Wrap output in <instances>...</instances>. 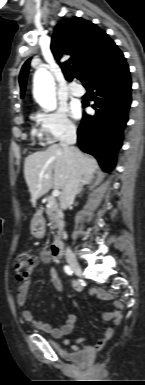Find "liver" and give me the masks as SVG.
Segmentation results:
<instances>
[{
    "label": "liver",
    "instance_id": "liver-1",
    "mask_svg": "<svg viewBox=\"0 0 145 385\" xmlns=\"http://www.w3.org/2000/svg\"><path fill=\"white\" fill-rule=\"evenodd\" d=\"M82 177L92 178L99 169L95 158L74 148ZM43 174V177L40 175ZM69 174L68 151L53 144L44 151L34 152L24 162V176L31 194L32 204L51 188L63 189Z\"/></svg>",
    "mask_w": 145,
    "mask_h": 385
}]
</instances>
